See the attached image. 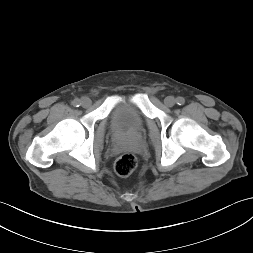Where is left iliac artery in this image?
Segmentation results:
<instances>
[{"mask_svg":"<svg viewBox=\"0 0 253 253\" xmlns=\"http://www.w3.org/2000/svg\"><path fill=\"white\" fill-rule=\"evenodd\" d=\"M176 102L178 105H183L185 103V99L183 97H177Z\"/></svg>","mask_w":253,"mask_h":253,"instance_id":"left-iliac-artery-1","label":"left iliac artery"}]
</instances>
